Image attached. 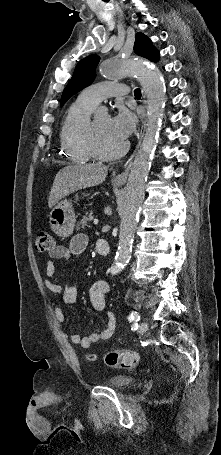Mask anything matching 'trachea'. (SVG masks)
<instances>
[{
	"label": "trachea",
	"instance_id": "trachea-1",
	"mask_svg": "<svg viewBox=\"0 0 221 455\" xmlns=\"http://www.w3.org/2000/svg\"><path fill=\"white\" fill-rule=\"evenodd\" d=\"M134 95H135V97H141V90L138 89V88L135 89V90H134Z\"/></svg>",
	"mask_w": 221,
	"mask_h": 455
}]
</instances>
